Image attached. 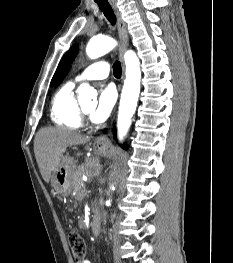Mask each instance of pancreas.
Returning a JSON list of instances; mask_svg holds the SVG:
<instances>
[{
    "mask_svg": "<svg viewBox=\"0 0 233 263\" xmlns=\"http://www.w3.org/2000/svg\"><path fill=\"white\" fill-rule=\"evenodd\" d=\"M73 191L76 192V199L82 198L86 194L85 189H81L84 182L82 180V173L81 171H77L73 177Z\"/></svg>",
    "mask_w": 233,
    "mask_h": 263,
    "instance_id": "pancreas-1",
    "label": "pancreas"
}]
</instances>
